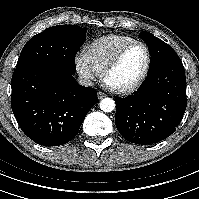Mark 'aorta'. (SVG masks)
I'll use <instances>...</instances> for the list:
<instances>
[{"instance_id": "obj_1", "label": "aorta", "mask_w": 199, "mask_h": 199, "mask_svg": "<svg viewBox=\"0 0 199 199\" xmlns=\"http://www.w3.org/2000/svg\"><path fill=\"white\" fill-rule=\"evenodd\" d=\"M100 109L104 112H112L115 109V102L111 98H104L100 101Z\"/></svg>"}]
</instances>
